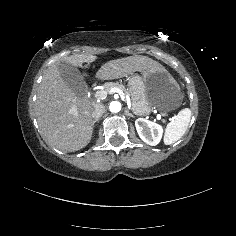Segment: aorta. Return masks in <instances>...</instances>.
Instances as JSON below:
<instances>
[{
    "mask_svg": "<svg viewBox=\"0 0 236 236\" xmlns=\"http://www.w3.org/2000/svg\"><path fill=\"white\" fill-rule=\"evenodd\" d=\"M109 110L112 113H118L121 110V104L118 101H112L109 104Z\"/></svg>",
    "mask_w": 236,
    "mask_h": 236,
    "instance_id": "aorta-1",
    "label": "aorta"
}]
</instances>
